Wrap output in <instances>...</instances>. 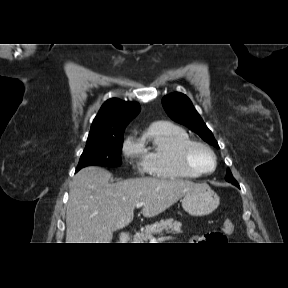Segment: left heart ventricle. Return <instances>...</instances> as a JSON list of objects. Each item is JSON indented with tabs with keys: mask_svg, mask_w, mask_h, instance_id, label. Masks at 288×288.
Returning a JSON list of instances; mask_svg holds the SVG:
<instances>
[{
	"mask_svg": "<svg viewBox=\"0 0 288 288\" xmlns=\"http://www.w3.org/2000/svg\"><path fill=\"white\" fill-rule=\"evenodd\" d=\"M192 160L197 167L205 171L211 170L214 165L211 155L202 148L194 149L192 153Z\"/></svg>",
	"mask_w": 288,
	"mask_h": 288,
	"instance_id": "b2bd125f",
	"label": "left heart ventricle"
}]
</instances>
